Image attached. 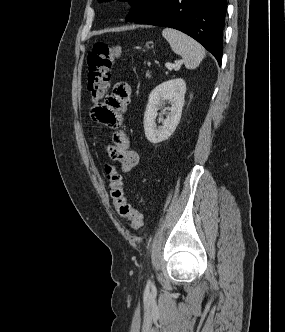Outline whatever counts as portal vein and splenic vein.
<instances>
[{"label":"portal vein and splenic vein","mask_w":285,"mask_h":332,"mask_svg":"<svg viewBox=\"0 0 285 332\" xmlns=\"http://www.w3.org/2000/svg\"><path fill=\"white\" fill-rule=\"evenodd\" d=\"M181 65V62H178L176 65L174 64H171V63H166L165 66L168 68V69H172L174 67H177V66H180Z\"/></svg>","instance_id":"18ae733b"}]
</instances>
